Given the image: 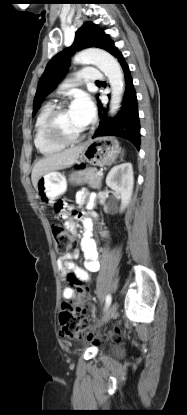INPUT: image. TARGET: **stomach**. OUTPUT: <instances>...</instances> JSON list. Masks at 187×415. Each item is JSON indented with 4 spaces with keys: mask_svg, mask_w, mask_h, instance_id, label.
<instances>
[{
    "mask_svg": "<svg viewBox=\"0 0 187 415\" xmlns=\"http://www.w3.org/2000/svg\"><path fill=\"white\" fill-rule=\"evenodd\" d=\"M119 152V143L114 137H98L83 145L81 158L90 165L102 167L112 164ZM66 189L67 181L64 174L57 171L49 172L37 181L36 198L43 207L50 206Z\"/></svg>",
    "mask_w": 187,
    "mask_h": 415,
    "instance_id": "1",
    "label": "stomach"
}]
</instances>
